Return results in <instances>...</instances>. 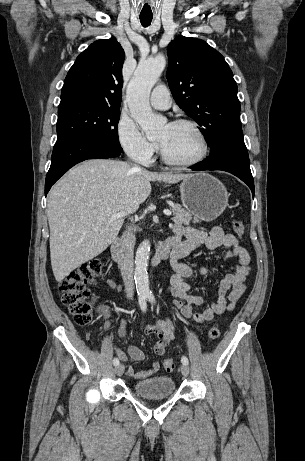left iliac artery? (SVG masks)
I'll return each instance as SVG.
<instances>
[{
    "label": "left iliac artery",
    "mask_w": 305,
    "mask_h": 461,
    "mask_svg": "<svg viewBox=\"0 0 305 461\" xmlns=\"http://www.w3.org/2000/svg\"><path fill=\"white\" fill-rule=\"evenodd\" d=\"M149 299L150 302L154 303L155 302V298L153 295H148L147 297ZM181 362L185 365H188L189 361H188V358L186 356H182L181 358Z\"/></svg>",
    "instance_id": "obj_1"
}]
</instances>
